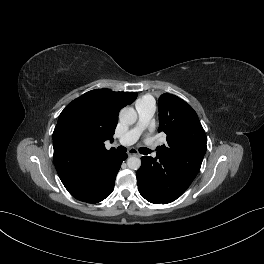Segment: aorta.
<instances>
[{
	"label": "aorta",
	"mask_w": 264,
	"mask_h": 264,
	"mask_svg": "<svg viewBox=\"0 0 264 264\" xmlns=\"http://www.w3.org/2000/svg\"><path fill=\"white\" fill-rule=\"evenodd\" d=\"M119 120L125 125H132L137 120V113L132 107H124L119 113ZM127 166L132 170H138L141 166V160L138 157H130L127 159Z\"/></svg>",
	"instance_id": "obj_1"
}]
</instances>
